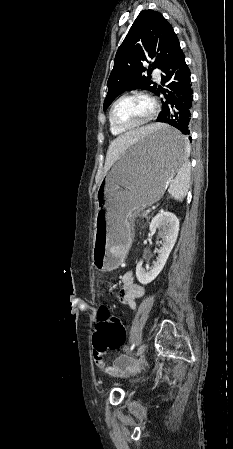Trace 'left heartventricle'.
Listing matches in <instances>:
<instances>
[{
    "instance_id": "b2bd125f",
    "label": "left heart ventricle",
    "mask_w": 233,
    "mask_h": 449,
    "mask_svg": "<svg viewBox=\"0 0 233 449\" xmlns=\"http://www.w3.org/2000/svg\"><path fill=\"white\" fill-rule=\"evenodd\" d=\"M148 100L140 96L122 99L114 108V120L120 125H132L143 121L150 113Z\"/></svg>"
}]
</instances>
